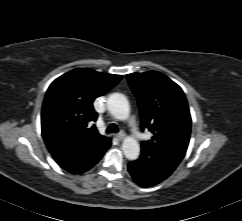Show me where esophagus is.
I'll list each match as a JSON object with an SVG mask.
<instances>
[{"instance_id": "1", "label": "esophagus", "mask_w": 242, "mask_h": 221, "mask_svg": "<svg viewBox=\"0 0 242 221\" xmlns=\"http://www.w3.org/2000/svg\"><path fill=\"white\" fill-rule=\"evenodd\" d=\"M115 137L118 139V140H122L125 138V133L121 132L119 134H116Z\"/></svg>"}]
</instances>
